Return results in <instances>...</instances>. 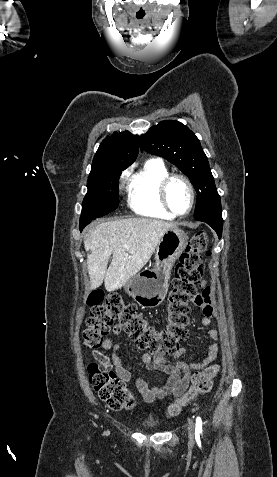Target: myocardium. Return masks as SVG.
I'll return each instance as SVG.
<instances>
[{"instance_id": "f54148a6", "label": "myocardium", "mask_w": 277, "mask_h": 477, "mask_svg": "<svg viewBox=\"0 0 277 477\" xmlns=\"http://www.w3.org/2000/svg\"><path fill=\"white\" fill-rule=\"evenodd\" d=\"M175 179H179V180H182L188 187V190H189V193H190V205H189V208L188 210L185 212V213H177L175 212L170 203H169V200H168V188H169V185L170 183L175 180ZM159 198H160V201H161V204L162 206L164 207V209L170 213L171 215H173L174 217H178V218H182V217H186L188 216L193 208H194V205H195V201H196V194H195V189H194V186L191 182V180L183 175V174H178V173H174V174H168L166 177H164L162 179V181L160 182V185H159Z\"/></svg>"}]
</instances>
